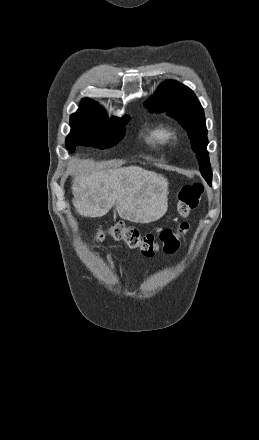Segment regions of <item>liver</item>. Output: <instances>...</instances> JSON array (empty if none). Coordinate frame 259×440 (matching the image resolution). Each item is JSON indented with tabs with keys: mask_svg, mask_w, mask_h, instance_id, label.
I'll return each instance as SVG.
<instances>
[{
	"mask_svg": "<svg viewBox=\"0 0 259 440\" xmlns=\"http://www.w3.org/2000/svg\"><path fill=\"white\" fill-rule=\"evenodd\" d=\"M73 205L84 217H102L116 204L125 220L147 224L168 210V181L138 166L96 169L90 160H74Z\"/></svg>",
	"mask_w": 259,
	"mask_h": 440,
	"instance_id": "obj_1",
	"label": "liver"
}]
</instances>
